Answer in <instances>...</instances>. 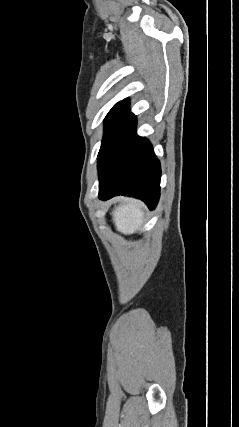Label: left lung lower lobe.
<instances>
[{
    "mask_svg": "<svg viewBox=\"0 0 239 427\" xmlns=\"http://www.w3.org/2000/svg\"><path fill=\"white\" fill-rule=\"evenodd\" d=\"M136 117L125 124L98 156L99 199L125 195L152 210L160 196V162L150 142L135 134Z\"/></svg>",
    "mask_w": 239,
    "mask_h": 427,
    "instance_id": "left-lung-lower-lobe-1",
    "label": "left lung lower lobe"
}]
</instances>
